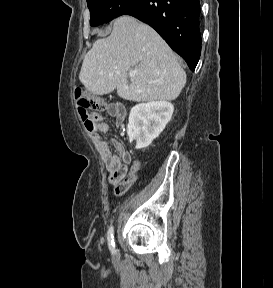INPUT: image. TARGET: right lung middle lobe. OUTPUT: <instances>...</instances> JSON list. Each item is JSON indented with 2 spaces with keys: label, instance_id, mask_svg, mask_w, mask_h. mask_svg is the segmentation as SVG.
<instances>
[{
  "label": "right lung middle lobe",
  "instance_id": "right-lung-middle-lobe-1",
  "mask_svg": "<svg viewBox=\"0 0 273 288\" xmlns=\"http://www.w3.org/2000/svg\"><path fill=\"white\" fill-rule=\"evenodd\" d=\"M135 0H87L90 25L97 26L121 16Z\"/></svg>",
  "mask_w": 273,
  "mask_h": 288
}]
</instances>
